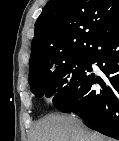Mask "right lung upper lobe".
Returning <instances> with one entry per match:
<instances>
[{"label":"right lung upper lobe","instance_id":"cb5924a9","mask_svg":"<svg viewBox=\"0 0 119 141\" xmlns=\"http://www.w3.org/2000/svg\"><path fill=\"white\" fill-rule=\"evenodd\" d=\"M119 19V0H50L35 23L29 75L88 57L106 27Z\"/></svg>","mask_w":119,"mask_h":141}]
</instances>
